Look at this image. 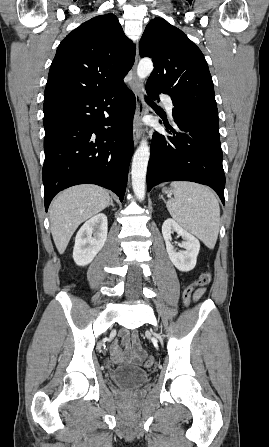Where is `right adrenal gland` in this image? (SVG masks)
Returning <instances> with one entry per match:
<instances>
[{"mask_svg": "<svg viewBox=\"0 0 269 447\" xmlns=\"http://www.w3.org/2000/svg\"><path fill=\"white\" fill-rule=\"evenodd\" d=\"M109 206H112V208H114V204H113V200H112V198H110V204H109ZM109 206H108V208H109Z\"/></svg>", "mask_w": 269, "mask_h": 447, "instance_id": "obj_1", "label": "right adrenal gland"}]
</instances>
